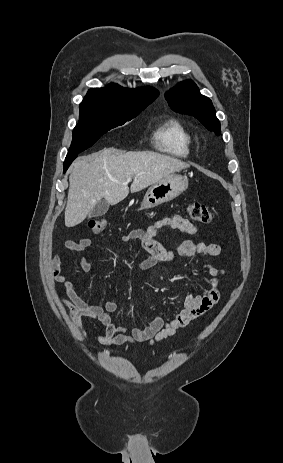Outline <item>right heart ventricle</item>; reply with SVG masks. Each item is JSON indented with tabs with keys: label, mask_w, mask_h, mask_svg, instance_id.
I'll return each instance as SVG.
<instances>
[{
	"label": "right heart ventricle",
	"mask_w": 283,
	"mask_h": 463,
	"mask_svg": "<svg viewBox=\"0 0 283 463\" xmlns=\"http://www.w3.org/2000/svg\"><path fill=\"white\" fill-rule=\"evenodd\" d=\"M153 139L158 150L174 157L185 158L192 150V135L177 118L166 120L155 131Z\"/></svg>",
	"instance_id": "right-heart-ventricle-1"
}]
</instances>
